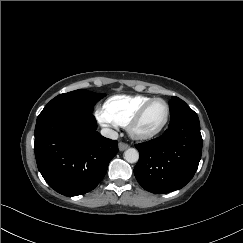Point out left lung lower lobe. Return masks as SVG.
<instances>
[{
    "label": "left lung lower lobe",
    "instance_id": "obj_1",
    "mask_svg": "<svg viewBox=\"0 0 243 243\" xmlns=\"http://www.w3.org/2000/svg\"><path fill=\"white\" fill-rule=\"evenodd\" d=\"M139 161L134 174L147 191L162 194L184 187L194 176L202 152L197 115L170 122L158 138L136 145Z\"/></svg>",
    "mask_w": 243,
    "mask_h": 243
}]
</instances>
